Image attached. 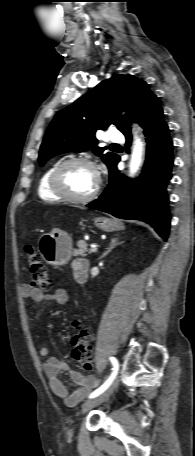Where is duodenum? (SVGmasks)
<instances>
[{
	"label": "duodenum",
	"instance_id": "410a0bca",
	"mask_svg": "<svg viewBox=\"0 0 195 456\" xmlns=\"http://www.w3.org/2000/svg\"><path fill=\"white\" fill-rule=\"evenodd\" d=\"M88 269L89 264L86 260L78 267L75 277L79 283H85L87 281Z\"/></svg>",
	"mask_w": 195,
	"mask_h": 456
}]
</instances>
